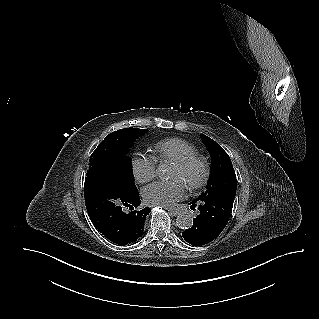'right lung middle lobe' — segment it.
<instances>
[{
  "instance_id": "1",
  "label": "right lung middle lobe",
  "mask_w": 319,
  "mask_h": 319,
  "mask_svg": "<svg viewBox=\"0 0 319 319\" xmlns=\"http://www.w3.org/2000/svg\"><path fill=\"white\" fill-rule=\"evenodd\" d=\"M145 132L146 129L129 127L107 135L92 153L89 170L102 166H118L124 183L128 188H134L132 159L126 153L133 142ZM91 178L92 175L88 174L87 179Z\"/></svg>"
}]
</instances>
